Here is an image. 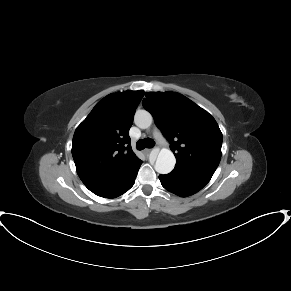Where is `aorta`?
I'll list each match as a JSON object with an SVG mask.
<instances>
[{
	"instance_id": "1",
	"label": "aorta",
	"mask_w": 291,
	"mask_h": 291,
	"mask_svg": "<svg viewBox=\"0 0 291 291\" xmlns=\"http://www.w3.org/2000/svg\"><path fill=\"white\" fill-rule=\"evenodd\" d=\"M153 121L152 115L146 110H138L134 116V122L137 127L147 129ZM174 154L166 148L160 150L154 168L159 174L170 173L175 166Z\"/></svg>"
}]
</instances>
